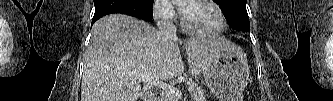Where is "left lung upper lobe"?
<instances>
[{"label":"left lung upper lobe","instance_id":"5c2ea615","mask_svg":"<svg viewBox=\"0 0 333 101\" xmlns=\"http://www.w3.org/2000/svg\"><path fill=\"white\" fill-rule=\"evenodd\" d=\"M213 1L222 8L231 28L242 32L250 31V23L246 10V0Z\"/></svg>","mask_w":333,"mask_h":101}]
</instances>
